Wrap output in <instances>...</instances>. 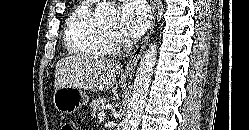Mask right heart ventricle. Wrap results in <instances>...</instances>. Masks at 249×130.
I'll return each instance as SVG.
<instances>
[{"mask_svg":"<svg viewBox=\"0 0 249 130\" xmlns=\"http://www.w3.org/2000/svg\"><path fill=\"white\" fill-rule=\"evenodd\" d=\"M93 1L80 0L65 22L64 43L73 55L101 57L110 51L108 32L92 16Z\"/></svg>","mask_w":249,"mask_h":130,"instance_id":"1","label":"right heart ventricle"}]
</instances>
